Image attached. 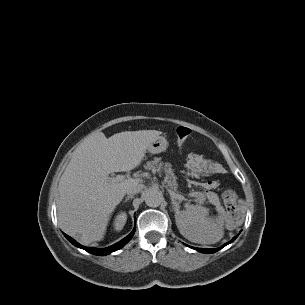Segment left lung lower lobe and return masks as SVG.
Listing matches in <instances>:
<instances>
[{"instance_id": "obj_1", "label": "left lung lower lobe", "mask_w": 305, "mask_h": 305, "mask_svg": "<svg viewBox=\"0 0 305 305\" xmlns=\"http://www.w3.org/2000/svg\"><path fill=\"white\" fill-rule=\"evenodd\" d=\"M237 236H235L231 241L225 243L222 247L228 245L229 243L233 242L235 239H236ZM199 252H202V253H215L216 251H218L220 248H216V249H203V248H194V247H191Z\"/></svg>"}]
</instances>
